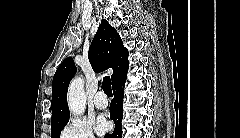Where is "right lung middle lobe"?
<instances>
[{"instance_id":"obj_1","label":"right lung middle lobe","mask_w":240,"mask_h":138,"mask_svg":"<svg viewBox=\"0 0 240 138\" xmlns=\"http://www.w3.org/2000/svg\"><path fill=\"white\" fill-rule=\"evenodd\" d=\"M66 123H62V124H58V125H55V126H51L52 127V129H51V137L59 138L61 130L66 125Z\"/></svg>"}]
</instances>
